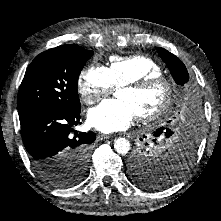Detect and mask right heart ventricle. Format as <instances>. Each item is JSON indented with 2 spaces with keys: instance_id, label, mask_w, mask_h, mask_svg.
<instances>
[{
  "instance_id": "obj_1",
  "label": "right heart ventricle",
  "mask_w": 221,
  "mask_h": 221,
  "mask_svg": "<svg viewBox=\"0 0 221 221\" xmlns=\"http://www.w3.org/2000/svg\"><path fill=\"white\" fill-rule=\"evenodd\" d=\"M108 71L117 87L146 77L159 76L163 73L157 62L144 55L112 57Z\"/></svg>"
}]
</instances>
